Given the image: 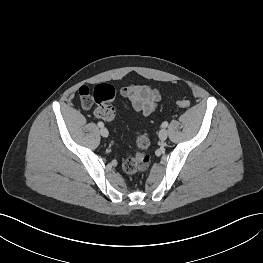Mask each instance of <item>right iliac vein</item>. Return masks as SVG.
<instances>
[{
  "label": "right iliac vein",
  "mask_w": 263,
  "mask_h": 263,
  "mask_svg": "<svg viewBox=\"0 0 263 263\" xmlns=\"http://www.w3.org/2000/svg\"><path fill=\"white\" fill-rule=\"evenodd\" d=\"M100 134H101V136H103V137H108L109 132H108V130H107L106 128L102 127V128L100 129Z\"/></svg>",
  "instance_id": "obj_1"
}]
</instances>
